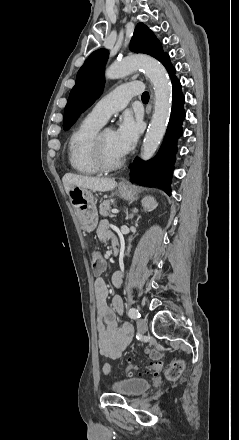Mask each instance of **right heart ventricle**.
Masks as SVG:
<instances>
[{
    "instance_id": "1",
    "label": "right heart ventricle",
    "mask_w": 239,
    "mask_h": 440,
    "mask_svg": "<svg viewBox=\"0 0 239 440\" xmlns=\"http://www.w3.org/2000/svg\"><path fill=\"white\" fill-rule=\"evenodd\" d=\"M101 124L86 117L82 123L70 134L67 146L68 162L77 173L95 175L100 169L93 161L90 152L92 138Z\"/></svg>"
}]
</instances>
